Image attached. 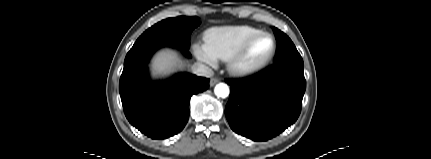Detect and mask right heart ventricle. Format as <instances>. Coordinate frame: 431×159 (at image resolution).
<instances>
[{
    "label": "right heart ventricle",
    "instance_id": "obj_1",
    "mask_svg": "<svg viewBox=\"0 0 431 159\" xmlns=\"http://www.w3.org/2000/svg\"><path fill=\"white\" fill-rule=\"evenodd\" d=\"M258 31L249 25L214 27L205 32L204 41L217 59L227 60L246 38Z\"/></svg>",
    "mask_w": 431,
    "mask_h": 159
}]
</instances>
